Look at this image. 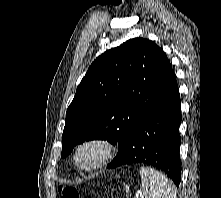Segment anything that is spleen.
I'll list each match as a JSON object with an SVG mask.
<instances>
[{
	"mask_svg": "<svg viewBox=\"0 0 221 198\" xmlns=\"http://www.w3.org/2000/svg\"><path fill=\"white\" fill-rule=\"evenodd\" d=\"M141 192L145 198H176V192L169 179L151 167H141Z\"/></svg>",
	"mask_w": 221,
	"mask_h": 198,
	"instance_id": "1",
	"label": "spleen"
}]
</instances>
